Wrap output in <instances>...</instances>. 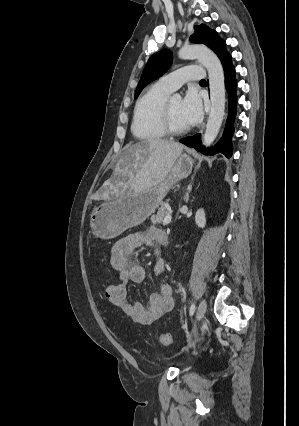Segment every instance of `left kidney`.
I'll list each match as a JSON object with an SVG mask.
<instances>
[{
	"instance_id": "5707ae66",
	"label": "left kidney",
	"mask_w": 299,
	"mask_h": 426,
	"mask_svg": "<svg viewBox=\"0 0 299 426\" xmlns=\"http://www.w3.org/2000/svg\"><path fill=\"white\" fill-rule=\"evenodd\" d=\"M195 222L198 227L204 228L206 225V217L203 209H199L195 215Z\"/></svg>"
}]
</instances>
